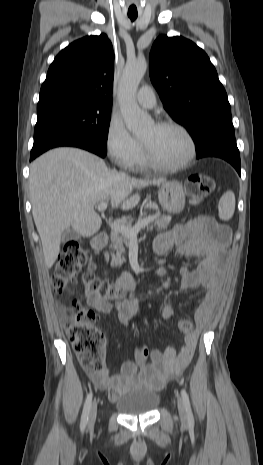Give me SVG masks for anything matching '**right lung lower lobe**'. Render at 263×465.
Returning a JSON list of instances; mask_svg holds the SVG:
<instances>
[{
	"label": "right lung lower lobe",
	"instance_id": "1",
	"mask_svg": "<svg viewBox=\"0 0 263 465\" xmlns=\"http://www.w3.org/2000/svg\"><path fill=\"white\" fill-rule=\"evenodd\" d=\"M60 146L82 148L95 153L100 157H105L106 155L97 145L82 136L76 134H59L47 137L38 143H34L30 154V161L45 151Z\"/></svg>",
	"mask_w": 263,
	"mask_h": 465
}]
</instances>
